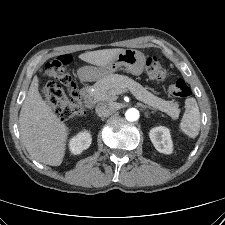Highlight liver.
Listing matches in <instances>:
<instances>
[{"label":"liver","instance_id":"liver-1","mask_svg":"<svg viewBox=\"0 0 225 225\" xmlns=\"http://www.w3.org/2000/svg\"><path fill=\"white\" fill-rule=\"evenodd\" d=\"M124 49H103L86 52L79 58L96 66H106ZM39 80L34 76L19 116L23 144L31 158L51 166L61 165L69 129L43 100Z\"/></svg>","mask_w":225,"mask_h":225}]
</instances>
